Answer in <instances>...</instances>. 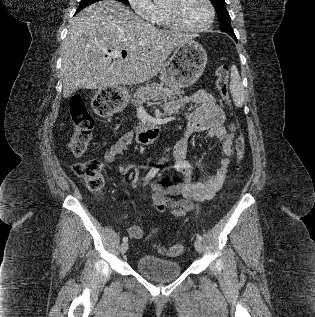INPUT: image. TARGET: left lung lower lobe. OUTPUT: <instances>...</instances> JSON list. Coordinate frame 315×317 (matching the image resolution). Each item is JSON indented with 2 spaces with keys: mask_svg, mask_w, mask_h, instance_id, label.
Returning a JSON list of instances; mask_svg holds the SVG:
<instances>
[{
  "mask_svg": "<svg viewBox=\"0 0 315 317\" xmlns=\"http://www.w3.org/2000/svg\"><path fill=\"white\" fill-rule=\"evenodd\" d=\"M235 41H237V38L235 35L231 36Z\"/></svg>",
  "mask_w": 315,
  "mask_h": 317,
  "instance_id": "1",
  "label": "left lung lower lobe"
}]
</instances>
